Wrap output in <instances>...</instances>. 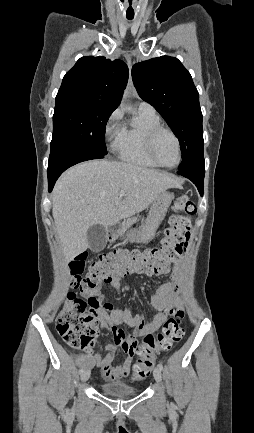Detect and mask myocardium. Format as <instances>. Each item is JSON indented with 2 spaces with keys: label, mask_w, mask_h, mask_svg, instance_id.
Segmentation results:
<instances>
[{
  "label": "myocardium",
  "mask_w": 254,
  "mask_h": 433,
  "mask_svg": "<svg viewBox=\"0 0 254 433\" xmlns=\"http://www.w3.org/2000/svg\"><path fill=\"white\" fill-rule=\"evenodd\" d=\"M161 132H166V133L170 134L176 142L177 151H178V158H177L176 163L173 165H165V164L161 163L155 154V148H154L155 140ZM145 147H146V151H147V154L150 157V159L159 167L167 168V169H173V168H176L181 163V160H182L181 142H180L178 136L176 135V133L168 127H165V126L160 124V125L154 126L151 129H149L147 134H146V138H145Z\"/></svg>",
  "instance_id": "myocardium-1"
}]
</instances>
